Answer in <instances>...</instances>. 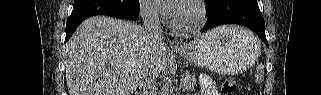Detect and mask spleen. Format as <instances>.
Instances as JSON below:
<instances>
[{
  "label": "spleen",
  "mask_w": 321,
  "mask_h": 95,
  "mask_svg": "<svg viewBox=\"0 0 321 95\" xmlns=\"http://www.w3.org/2000/svg\"><path fill=\"white\" fill-rule=\"evenodd\" d=\"M263 78H264V69H263V65H260L257 69L256 80L257 82H262Z\"/></svg>",
  "instance_id": "spleen-1"
}]
</instances>
